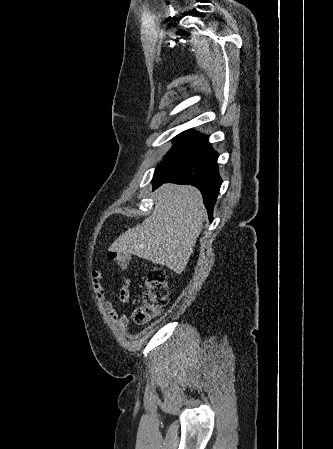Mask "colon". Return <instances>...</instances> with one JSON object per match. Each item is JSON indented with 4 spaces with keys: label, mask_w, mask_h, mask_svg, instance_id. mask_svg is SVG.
Instances as JSON below:
<instances>
[{
    "label": "colon",
    "mask_w": 333,
    "mask_h": 449,
    "mask_svg": "<svg viewBox=\"0 0 333 449\" xmlns=\"http://www.w3.org/2000/svg\"><path fill=\"white\" fill-rule=\"evenodd\" d=\"M108 259L124 269L128 266L130 255L122 251H111ZM168 299V279L161 269H152L145 279V293L142 303L133 313L137 324H143L153 319L165 306Z\"/></svg>",
    "instance_id": "1"
}]
</instances>
